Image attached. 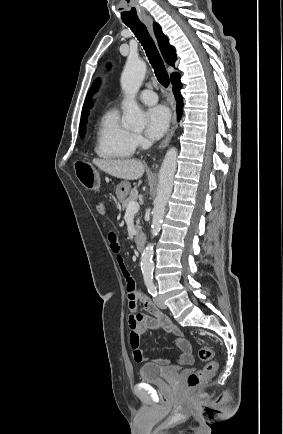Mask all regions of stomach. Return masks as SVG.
Here are the masks:
<instances>
[{
	"mask_svg": "<svg viewBox=\"0 0 283 434\" xmlns=\"http://www.w3.org/2000/svg\"><path fill=\"white\" fill-rule=\"evenodd\" d=\"M129 191H130V184H129V182L122 181V182H120L117 185V187H116V195H117V198H118L119 202L122 203L127 198L128 194H129Z\"/></svg>",
	"mask_w": 283,
	"mask_h": 434,
	"instance_id": "0dacf381",
	"label": "stomach"
}]
</instances>
